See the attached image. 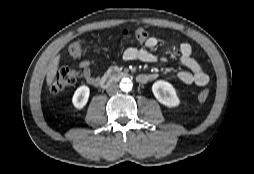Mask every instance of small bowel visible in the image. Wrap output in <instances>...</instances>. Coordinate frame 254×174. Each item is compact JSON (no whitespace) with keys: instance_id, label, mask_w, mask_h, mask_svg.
<instances>
[{"instance_id":"small-bowel-1","label":"small bowel","mask_w":254,"mask_h":174,"mask_svg":"<svg viewBox=\"0 0 254 174\" xmlns=\"http://www.w3.org/2000/svg\"><path fill=\"white\" fill-rule=\"evenodd\" d=\"M158 45L156 37H149L143 47L131 46L124 50L123 59L125 61L141 60L145 62H156L159 60V55L154 52ZM177 52L178 61L186 68L175 75V78L186 85L195 84L203 86L208 83V75L205 73L201 65L193 56V50L189 43H181L173 46ZM95 64L94 60H85L79 63L78 67L83 72L84 80L92 85L98 86L100 77L93 74L92 68ZM156 78V74H141L138 80L141 83L151 82Z\"/></svg>"}]
</instances>
